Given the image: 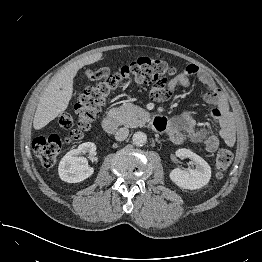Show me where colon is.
<instances>
[{"label":"colon","mask_w":262,"mask_h":262,"mask_svg":"<svg viewBox=\"0 0 262 262\" xmlns=\"http://www.w3.org/2000/svg\"><path fill=\"white\" fill-rule=\"evenodd\" d=\"M174 68L166 61L142 57L118 69L103 67L86 73L80 95L74 105L73 116L64 113L59 119V126L50 135L38 136L33 147L41 164L50 168L60 156L64 138L68 141L79 139L84 131L91 127L108 96L123 83H135L151 86V96L161 99L165 96L169 77L174 74ZM66 134V136H65ZM232 153L227 149L220 150L215 158V169L218 177L231 165Z\"/></svg>","instance_id":"obj_1"}]
</instances>
